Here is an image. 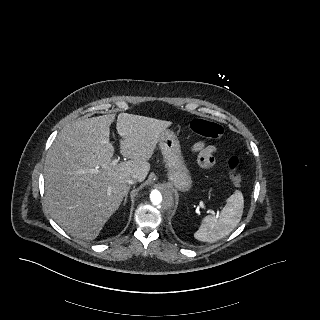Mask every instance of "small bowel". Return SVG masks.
<instances>
[{"instance_id": "1", "label": "small bowel", "mask_w": 320, "mask_h": 320, "mask_svg": "<svg viewBox=\"0 0 320 320\" xmlns=\"http://www.w3.org/2000/svg\"><path fill=\"white\" fill-rule=\"evenodd\" d=\"M192 151L197 154L199 164L202 167L209 168L214 165L217 152L214 145L200 141L193 145Z\"/></svg>"}]
</instances>
